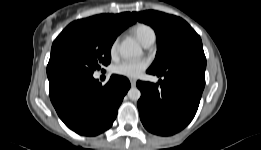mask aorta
<instances>
[{
  "instance_id": "aorta-1",
  "label": "aorta",
  "mask_w": 261,
  "mask_h": 150,
  "mask_svg": "<svg viewBox=\"0 0 261 150\" xmlns=\"http://www.w3.org/2000/svg\"><path fill=\"white\" fill-rule=\"evenodd\" d=\"M119 53L124 58H134L142 55V49L134 40L126 39L120 44ZM127 95L129 99L137 101L141 97V92L137 87H131Z\"/></svg>"
}]
</instances>
